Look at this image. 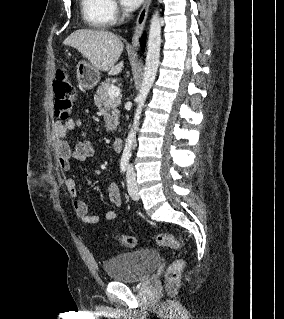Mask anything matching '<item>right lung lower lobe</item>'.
<instances>
[{
  "label": "right lung lower lobe",
  "mask_w": 284,
  "mask_h": 319,
  "mask_svg": "<svg viewBox=\"0 0 284 319\" xmlns=\"http://www.w3.org/2000/svg\"><path fill=\"white\" fill-rule=\"evenodd\" d=\"M143 38H145V36H143ZM140 44H141V47H142V49H143L144 46H145V40H141V41H140Z\"/></svg>",
  "instance_id": "98d812e1"
}]
</instances>
